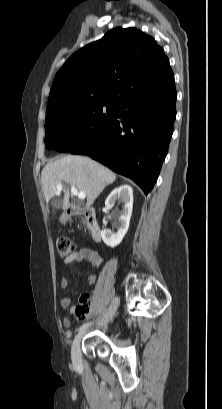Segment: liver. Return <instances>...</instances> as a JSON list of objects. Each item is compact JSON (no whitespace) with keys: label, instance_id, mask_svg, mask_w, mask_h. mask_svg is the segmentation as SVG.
<instances>
[{"label":"liver","instance_id":"obj_1","mask_svg":"<svg viewBox=\"0 0 222 409\" xmlns=\"http://www.w3.org/2000/svg\"><path fill=\"white\" fill-rule=\"evenodd\" d=\"M116 175L100 163L81 156L68 155L46 164L42 170L41 182L48 203L59 195L57 186L64 182L63 204L65 210L69 205L70 193L67 184H73L77 190L83 191L90 207L104 188L112 184Z\"/></svg>","mask_w":222,"mask_h":409}]
</instances>
